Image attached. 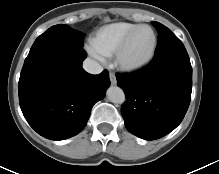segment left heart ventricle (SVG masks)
<instances>
[{"mask_svg": "<svg viewBox=\"0 0 219 174\" xmlns=\"http://www.w3.org/2000/svg\"><path fill=\"white\" fill-rule=\"evenodd\" d=\"M153 34L149 29H140L134 35L125 52L124 58L129 62H136L145 58L152 46Z\"/></svg>", "mask_w": 219, "mask_h": 174, "instance_id": "left-heart-ventricle-1", "label": "left heart ventricle"}]
</instances>
